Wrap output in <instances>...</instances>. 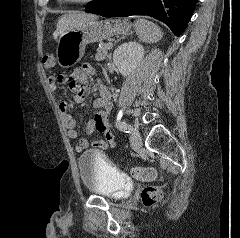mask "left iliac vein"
Instances as JSON below:
<instances>
[{
    "label": "left iliac vein",
    "mask_w": 240,
    "mask_h": 238,
    "mask_svg": "<svg viewBox=\"0 0 240 238\" xmlns=\"http://www.w3.org/2000/svg\"><path fill=\"white\" fill-rule=\"evenodd\" d=\"M130 142L133 148H140L142 146V137L138 129L134 128L130 134Z\"/></svg>",
    "instance_id": "4c4485c4"
}]
</instances>
